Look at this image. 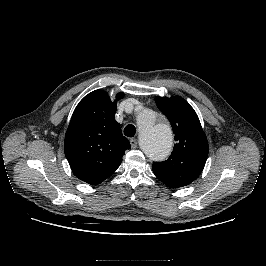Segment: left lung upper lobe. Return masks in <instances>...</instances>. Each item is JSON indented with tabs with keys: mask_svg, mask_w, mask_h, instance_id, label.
<instances>
[{
	"mask_svg": "<svg viewBox=\"0 0 266 266\" xmlns=\"http://www.w3.org/2000/svg\"><path fill=\"white\" fill-rule=\"evenodd\" d=\"M156 104L168 117L176 144L166 161L153 163V172L171 188L186 186L201 174L205 166L208 156L206 135L196 112L182 97H156Z\"/></svg>",
	"mask_w": 266,
	"mask_h": 266,
	"instance_id": "5c2ea615",
	"label": "left lung upper lobe"
}]
</instances>
